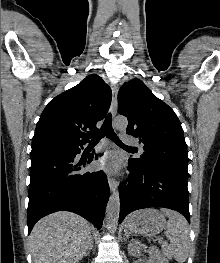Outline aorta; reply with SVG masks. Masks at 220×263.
<instances>
[{
	"instance_id": "762f6f07",
	"label": "aorta",
	"mask_w": 220,
	"mask_h": 263,
	"mask_svg": "<svg viewBox=\"0 0 220 263\" xmlns=\"http://www.w3.org/2000/svg\"><path fill=\"white\" fill-rule=\"evenodd\" d=\"M127 125H128V121L125 117H117L113 122V126L117 130H125L127 128ZM119 213H120V197H119V192L116 190L110 195L106 207L107 223L109 228L112 230H115L117 228Z\"/></svg>"
}]
</instances>
